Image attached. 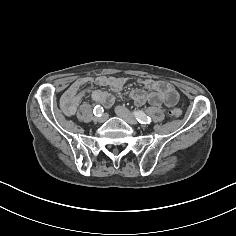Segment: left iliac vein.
Instances as JSON below:
<instances>
[{"mask_svg":"<svg viewBox=\"0 0 236 236\" xmlns=\"http://www.w3.org/2000/svg\"><path fill=\"white\" fill-rule=\"evenodd\" d=\"M115 113L117 114V116H119L120 118L125 120L127 123H129L131 125H136L137 124L136 118L125 107H123V106H116L115 107Z\"/></svg>","mask_w":236,"mask_h":236,"instance_id":"left-iliac-vein-1","label":"left iliac vein"}]
</instances>
